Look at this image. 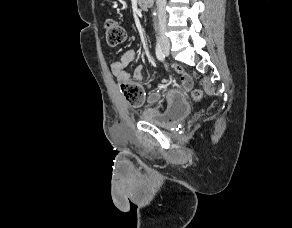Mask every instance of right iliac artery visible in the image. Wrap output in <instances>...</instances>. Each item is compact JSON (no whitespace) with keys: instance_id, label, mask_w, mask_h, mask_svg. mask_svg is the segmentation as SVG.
Instances as JSON below:
<instances>
[{"instance_id":"obj_1","label":"right iliac artery","mask_w":292,"mask_h":228,"mask_svg":"<svg viewBox=\"0 0 292 228\" xmlns=\"http://www.w3.org/2000/svg\"><path fill=\"white\" fill-rule=\"evenodd\" d=\"M155 53H156V57L159 61L163 62L165 60V55L161 49L159 42H157Z\"/></svg>"}]
</instances>
